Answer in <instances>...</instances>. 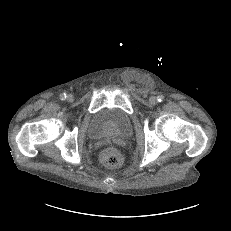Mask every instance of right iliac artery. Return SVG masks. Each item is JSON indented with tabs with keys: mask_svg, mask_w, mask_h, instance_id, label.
Here are the masks:
<instances>
[{
	"mask_svg": "<svg viewBox=\"0 0 231 231\" xmlns=\"http://www.w3.org/2000/svg\"><path fill=\"white\" fill-rule=\"evenodd\" d=\"M66 97H67V96H66V94H65V93H63V94H61V95H60V99H61V100H65V99H66Z\"/></svg>",
	"mask_w": 231,
	"mask_h": 231,
	"instance_id": "82829eb1",
	"label": "right iliac artery"
}]
</instances>
